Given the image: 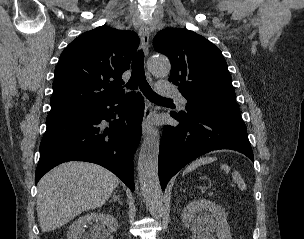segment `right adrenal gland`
<instances>
[{"label": "right adrenal gland", "mask_w": 304, "mask_h": 239, "mask_svg": "<svg viewBox=\"0 0 304 239\" xmlns=\"http://www.w3.org/2000/svg\"><path fill=\"white\" fill-rule=\"evenodd\" d=\"M112 200H113V201H117L118 203L122 204V202L120 201V199H119L118 196L116 195V192H114Z\"/></svg>", "instance_id": "right-adrenal-gland-1"}]
</instances>
